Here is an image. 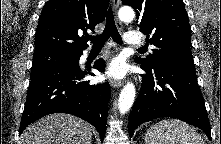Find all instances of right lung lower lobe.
<instances>
[{
  "label": "right lung lower lobe",
  "mask_w": 221,
  "mask_h": 144,
  "mask_svg": "<svg viewBox=\"0 0 221 144\" xmlns=\"http://www.w3.org/2000/svg\"><path fill=\"white\" fill-rule=\"evenodd\" d=\"M78 59L70 64L54 68L32 78L22 115L19 134L31 123L52 113H69L91 123L103 141L106 130L110 86L90 84L84 81L86 72L79 67ZM101 71L105 69L102 59L94 63Z\"/></svg>",
  "instance_id": "obj_1"
}]
</instances>
